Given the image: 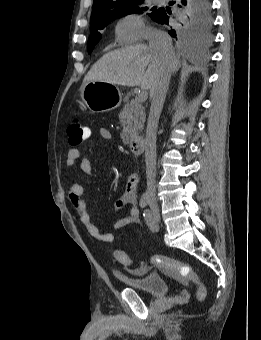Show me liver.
<instances>
[{
  "label": "liver",
  "mask_w": 261,
  "mask_h": 340,
  "mask_svg": "<svg viewBox=\"0 0 261 340\" xmlns=\"http://www.w3.org/2000/svg\"><path fill=\"white\" fill-rule=\"evenodd\" d=\"M179 65L174 53L162 59L144 44L127 46L103 55L84 77L83 86L89 81H102L152 90L163 72L175 71Z\"/></svg>",
  "instance_id": "obj_1"
}]
</instances>
